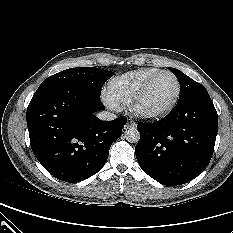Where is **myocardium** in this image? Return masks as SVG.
<instances>
[{
    "label": "myocardium",
    "mask_w": 233,
    "mask_h": 233,
    "mask_svg": "<svg viewBox=\"0 0 233 233\" xmlns=\"http://www.w3.org/2000/svg\"><path fill=\"white\" fill-rule=\"evenodd\" d=\"M164 74H168L172 76L176 82V92L173 97V99L162 109L155 110V111H147L142 108H140V102L145 96L146 92L148 91L149 87L153 83V81ZM181 95V83L179 78L170 70H161L157 73H155L153 76H151L142 86L141 88L135 93V95L132 97V99L129 102V109L131 113L142 119H147V120H156L160 119L167 114H169L173 108L176 106L179 98Z\"/></svg>",
    "instance_id": "obj_1"
}]
</instances>
